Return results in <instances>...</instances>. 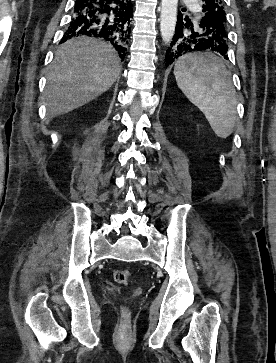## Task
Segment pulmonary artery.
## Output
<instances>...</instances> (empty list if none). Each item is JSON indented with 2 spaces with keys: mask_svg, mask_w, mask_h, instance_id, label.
I'll return each instance as SVG.
<instances>
[{
  "mask_svg": "<svg viewBox=\"0 0 276 363\" xmlns=\"http://www.w3.org/2000/svg\"><path fill=\"white\" fill-rule=\"evenodd\" d=\"M188 1H194V0H188ZM193 6H197L198 4L197 3H194L192 4ZM196 11H199V10H196Z\"/></svg>",
  "mask_w": 276,
  "mask_h": 363,
  "instance_id": "obj_1",
  "label": "pulmonary artery"
}]
</instances>
